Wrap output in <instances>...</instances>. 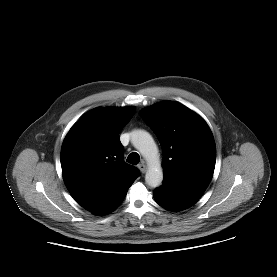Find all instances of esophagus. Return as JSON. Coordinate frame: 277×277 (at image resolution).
Listing matches in <instances>:
<instances>
[{
    "label": "esophagus",
    "mask_w": 277,
    "mask_h": 277,
    "mask_svg": "<svg viewBox=\"0 0 277 277\" xmlns=\"http://www.w3.org/2000/svg\"><path fill=\"white\" fill-rule=\"evenodd\" d=\"M138 168L139 170L142 172V173H145L146 172V165L144 164V162L140 163L138 165Z\"/></svg>",
    "instance_id": "obj_1"
}]
</instances>
